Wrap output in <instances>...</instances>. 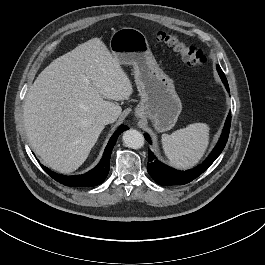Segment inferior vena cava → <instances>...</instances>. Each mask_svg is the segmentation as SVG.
<instances>
[{"mask_svg": "<svg viewBox=\"0 0 265 265\" xmlns=\"http://www.w3.org/2000/svg\"><path fill=\"white\" fill-rule=\"evenodd\" d=\"M116 120V117L108 112H103L97 117V121L105 125L113 123Z\"/></svg>", "mask_w": 265, "mask_h": 265, "instance_id": "inferior-vena-cava-1", "label": "inferior vena cava"}]
</instances>
